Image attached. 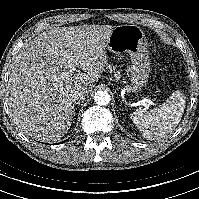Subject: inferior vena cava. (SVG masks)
Returning <instances> with one entry per match:
<instances>
[{"instance_id":"1","label":"inferior vena cava","mask_w":199,"mask_h":199,"mask_svg":"<svg viewBox=\"0 0 199 199\" xmlns=\"http://www.w3.org/2000/svg\"><path fill=\"white\" fill-rule=\"evenodd\" d=\"M86 97L85 90L79 87L73 88L70 91V98L74 103L79 104L80 102L84 101Z\"/></svg>"}]
</instances>
